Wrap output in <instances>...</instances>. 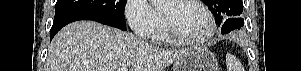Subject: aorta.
<instances>
[{
	"instance_id": "762f6f07",
	"label": "aorta",
	"mask_w": 301,
	"mask_h": 71,
	"mask_svg": "<svg viewBox=\"0 0 301 71\" xmlns=\"http://www.w3.org/2000/svg\"><path fill=\"white\" fill-rule=\"evenodd\" d=\"M151 2L155 6H162L165 5L168 2V0H151Z\"/></svg>"
}]
</instances>
